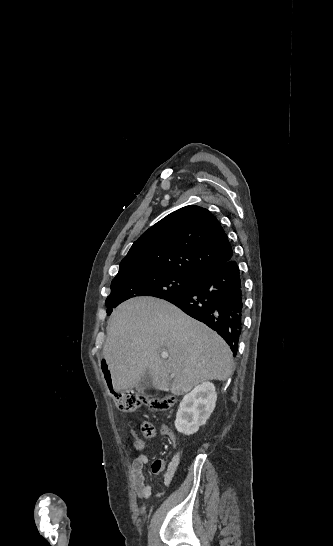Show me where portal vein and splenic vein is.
Returning <instances> with one entry per match:
<instances>
[{
    "label": "portal vein and splenic vein",
    "instance_id": "portal-vein-and-splenic-vein-1",
    "mask_svg": "<svg viewBox=\"0 0 333 546\" xmlns=\"http://www.w3.org/2000/svg\"><path fill=\"white\" fill-rule=\"evenodd\" d=\"M162 358L167 359L169 357L168 353L163 352L161 353Z\"/></svg>",
    "mask_w": 333,
    "mask_h": 546
}]
</instances>
